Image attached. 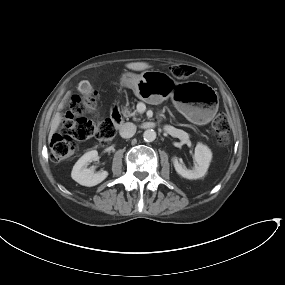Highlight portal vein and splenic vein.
Segmentation results:
<instances>
[{
    "label": "portal vein and splenic vein",
    "mask_w": 285,
    "mask_h": 285,
    "mask_svg": "<svg viewBox=\"0 0 285 285\" xmlns=\"http://www.w3.org/2000/svg\"><path fill=\"white\" fill-rule=\"evenodd\" d=\"M140 106H141V108H140V112H144V111H145V109H146L145 105L140 104Z\"/></svg>",
    "instance_id": "portal-vein-and-splenic-vein-1"
}]
</instances>
